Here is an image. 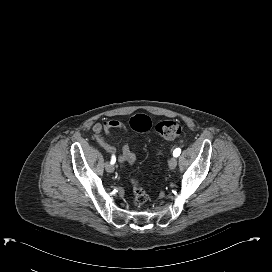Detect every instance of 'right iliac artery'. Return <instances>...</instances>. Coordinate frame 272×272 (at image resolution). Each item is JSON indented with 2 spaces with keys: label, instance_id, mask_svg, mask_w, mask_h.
I'll list each match as a JSON object with an SVG mask.
<instances>
[{
  "label": "right iliac artery",
  "instance_id": "82829eb1",
  "mask_svg": "<svg viewBox=\"0 0 272 272\" xmlns=\"http://www.w3.org/2000/svg\"><path fill=\"white\" fill-rule=\"evenodd\" d=\"M115 162H116V157L112 156V158H111V164H114Z\"/></svg>",
  "mask_w": 272,
  "mask_h": 272
}]
</instances>
